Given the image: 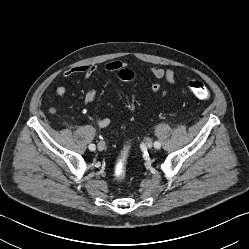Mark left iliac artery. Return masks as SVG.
I'll list each match as a JSON object with an SVG mask.
<instances>
[{
    "instance_id": "obj_1",
    "label": "left iliac artery",
    "mask_w": 249,
    "mask_h": 249,
    "mask_svg": "<svg viewBox=\"0 0 249 249\" xmlns=\"http://www.w3.org/2000/svg\"><path fill=\"white\" fill-rule=\"evenodd\" d=\"M154 147H155L156 149H159V148L161 147V143H160L159 141H155V142H154Z\"/></svg>"
}]
</instances>
